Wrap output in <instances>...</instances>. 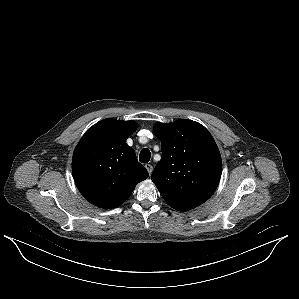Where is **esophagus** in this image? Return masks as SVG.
Segmentation results:
<instances>
[{"label":"esophagus","mask_w":299,"mask_h":299,"mask_svg":"<svg viewBox=\"0 0 299 299\" xmlns=\"http://www.w3.org/2000/svg\"><path fill=\"white\" fill-rule=\"evenodd\" d=\"M145 168L147 169L149 175H151L152 171H153V166L151 164H146Z\"/></svg>","instance_id":"34e87169"}]
</instances>
